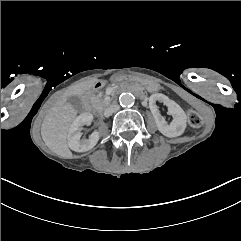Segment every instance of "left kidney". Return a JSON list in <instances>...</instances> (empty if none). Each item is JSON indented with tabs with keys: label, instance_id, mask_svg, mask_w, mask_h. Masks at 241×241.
I'll list each match as a JSON object with an SVG mask.
<instances>
[{
	"label": "left kidney",
	"instance_id": "5707ae66",
	"mask_svg": "<svg viewBox=\"0 0 241 241\" xmlns=\"http://www.w3.org/2000/svg\"><path fill=\"white\" fill-rule=\"evenodd\" d=\"M162 102L168 108V114L172 115L173 120L169 125L166 124L165 118L157 111L155 103ZM149 108L154 117L158 131L165 137L176 138L182 136L186 129V113L173 100L169 99L163 94H153L149 98Z\"/></svg>",
	"mask_w": 241,
	"mask_h": 241
}]
</instances>
